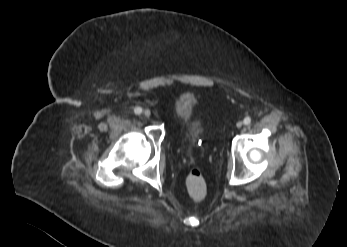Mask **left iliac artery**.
Wrapping results in <instances>:
<instances>
[{
    "mask_svg": "<svg viewBox=\"0 0 347 247\" xmlns=\"http://www.w3.org/2000/svg\"><path fill=\"white\" fill-rule=\"evenodd\" d=\"M243 122H244L245 125H248V124L251 123V118L250 117H245Z\"/></svg>",
    "mask_w": 347,
    "mask_h": 247,
    "instance_id": "obj_1",
    "label": "left iliac artery"
}]
</instances>
